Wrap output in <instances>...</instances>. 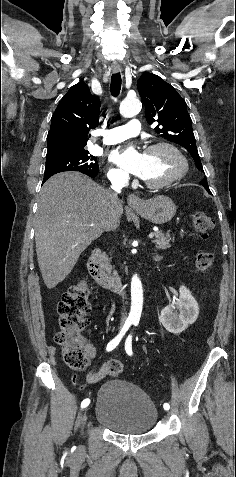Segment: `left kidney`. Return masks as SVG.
Wrapping results in <instances>:
<instances>
[{
  "instance_id": "obj_1",
  "label": "left kidney",
  "mask_w": 236,
  "mask_h": 477,
  "mask_svg": "<svg viewBox=\"0 0 236 477\" xmlns=\"http://www.w3.org/2000/svg\"><path fill=\"white\" fill-rule=\"evenodd\" d=\"M179 299L173 301L161 311L160 322L164 328L173 334H180L193 324L199 315V306L189 289L179 288ZM177 310L179 312H177Z\"/></svg>"
}]
</instances>
